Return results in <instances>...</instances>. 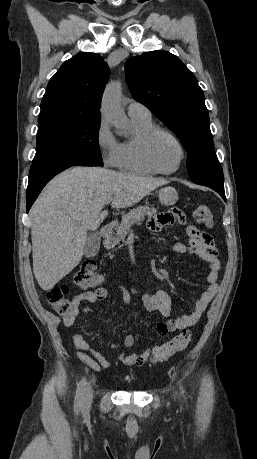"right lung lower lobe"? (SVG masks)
<instances>
[{
	"instance_id": "98d812e1",
	"label": "right lung lower lobe",
	"mask_w": 257,
	"mask_h": 459,
	"mask_svg": "<svg viewBox=\"0 0 257 459\" xmlns=\"http://www.w3.org/2000/svg\"><path fill=\"white\" fill-rule=\"evenodd\" d=\"M97 166L98 164L76 156L53 158L32 163L27 187V212L40 194L44 186L58 173L72 166Z\"/></svg>"
}]
</instances>
